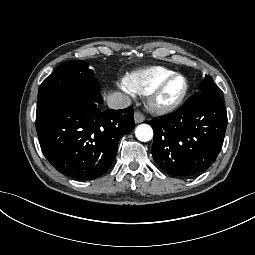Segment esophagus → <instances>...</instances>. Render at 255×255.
<instances>
[{
	"mask_svg": "<svg viewBox=\"0 0 255 255\" xmlns=\"http://www.w3.org/2000/svg\"><path fill=\"white\" fill-rule=\"evenodd\" d=\"M134 119H135V123H141L145 120V117L141 112L136 111L134 114Z\"/></svg>",
	"mask_w": 255,
	"mask_h": 255,
	"instance_id": "34e87169",
	"label": "esophagus"
}]
</instances>
